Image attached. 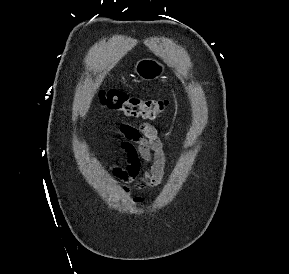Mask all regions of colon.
<instances>
[{
    "label": "colon",
    "mask_w": 289,
    "mask_h": 274,
    "mask_svg": "<svg viewBox=\"0 0 289 274\" xmlns=\"http://www.w3.org/2000/svg\"><path fill=\"white\" fill-rule=\"evenodd\" d=\"M98 97L101 105L108 109L144 119H155L169 104L167 100L143 99L116 89L100 91Z\"/></svg>",
    "instance_id": "1"
}]
</instances>
